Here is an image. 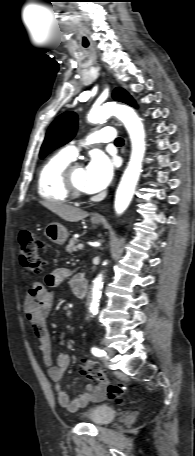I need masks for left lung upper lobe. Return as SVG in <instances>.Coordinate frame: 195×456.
<instances>
[{
    "label": "left lung upper lobe",
    "instance_id": "left-lung-upper-lobe-1",
    "mask_svg": "<svg viewBox=\"0 0 195 456\" xmlns=\"http://www.w3.org/2000/svg\"><path fill=\"white\" fill-rule=\"evenodd\" d=\"M113 98L117 101L135 106V101L122 88H116L113 92ZM77 115L74 112H65L58 116L50 125L45 140L40 150V158H44L54 149L68 143L76 134Z\"/></svg>",
    "mask_w": 195,
    "mask_h": 456
}]
</instances>
